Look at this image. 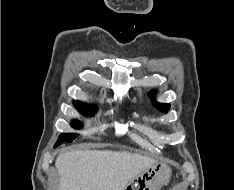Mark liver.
I'll return each instance as SVG.
<instances>
[{
	"label": "liver",
	"instance_id": "6515ba94",
	"mask_svg": "<svg viewBox=\"0 0 234 190\" xmlns=\"http://www.w3.org/2000/svg\"><path fill=\"white\" fill-rule=\"evenodd\" d=\"M155 160L125 150H75L57 157L58 190H124Z\"/></svg>",
	"mask_w": 234,
	"mask_h": 190
}]
</instances>
